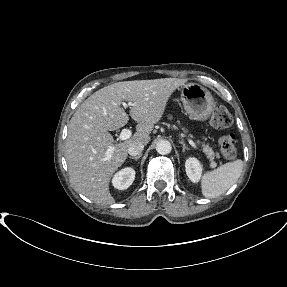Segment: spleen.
<instances>
[{
	"label": "spleen",
	"instance_id": "obj_1",
	"mask_svg": "<svg viewBox=\"0 0 287 287\" xmlns=\"http://www.w3.org/2000/svg\"><path fill=\"white\" fill-rule=\"evenodd\" d=\"M243 170V161L238 159L225 163L213 171L206 172L201 181L202 194L215 198L225 193L237 182Z\"/></svg>",
	"mask_w": 287,
	"mask_h": 287
}]
</instances>
